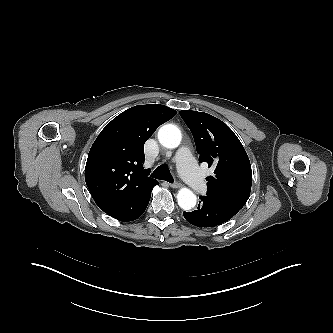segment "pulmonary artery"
Here are the masks:
<instances>
[{"mask_svg":"<svg viewBox=\"0 0 333 333\" xmlns=\"http://www.w3.org/2000/svg\"><path fill=\"white\" fill-rule=\"evenodd\" d=\"M179 172L188 184L199 193L206 190V183L195 163V160L186 147L180 148L175 156Z\"/></svg>","mask_w":333,"mask_h":333,"instance_id":"1","label":"pulmonary artery"}]
</instances>
